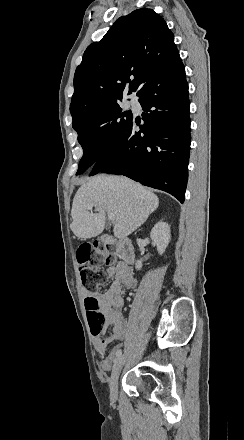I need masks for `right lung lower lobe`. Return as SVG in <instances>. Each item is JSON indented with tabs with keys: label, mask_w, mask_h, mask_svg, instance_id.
<instances>
[{
	"label": "right lung lower lobe",
	"mask_w": 244,
	"mask_h": 440,
	"mask_svg": "<svg viewBox=\"0 0 244 440\" xmlns=\"http://www.w3.org/2000/svg\"><path fill=\"white\" fill-rule=\"evenodd\" d=\"M143 125L131 120L113 146L93 165L97 173L125 175L184 202L188 179L190 118L183 64L161 69L141 90ZM139 127V131H138Z\"/></svg>",
	"instance_id": "1"
}]
</instances>
